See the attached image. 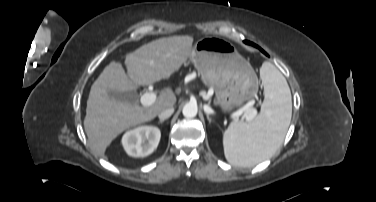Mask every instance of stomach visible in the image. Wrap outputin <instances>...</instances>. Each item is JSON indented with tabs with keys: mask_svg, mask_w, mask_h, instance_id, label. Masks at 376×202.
Listing matches in <instances>:
<instances>
[{
	"mask_svg": "<svg viewBox=\"0 0 376 202\" xmlns=\"http://www.w3.org/2000/svg\"><path fill=\"white\" fill-rule=\"evenodd\" d=\"M189 57L203 83L214 88L223 111H230L257 94L258 79L252 66L229 41L219 37L201 38Z\"/></svg>",
	"mask_w": 376,
	"mask_h": 202,
	"instance_id": "0dacf381",
	"label": "stomach"
}]
</instances>
